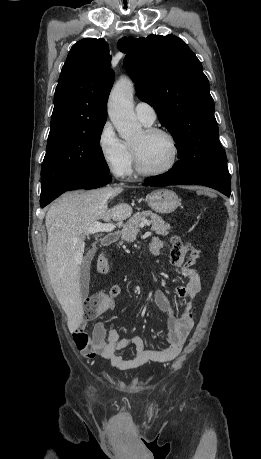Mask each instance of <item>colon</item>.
<instances>
[{"instance_id": "obj_1", "label": "colon", "mask_w": 261, "mask_h": 459, "mask_svg": "<svg viewBox=\"0 0 261 459\" xmlns=\"http://www.w3.org/2000/svg\"><path fill=\"white\" fill-rule=\"evenodd\" d=\"M198 197H215V188H198ZM97 270L100 273L108 271V261L104 256L97 260ZM108 301L107 293H96L86 299L84 315L86 319L96 318Z\"/></svg>"}]
</instances>
